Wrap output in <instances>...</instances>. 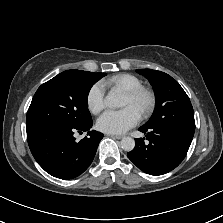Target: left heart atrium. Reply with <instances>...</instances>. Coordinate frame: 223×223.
<instances>
[{"label":"left heart atrium","instance_id":"39dd6f15","mask_svg":"<svg viewBox=\"0 0 223 223\" xmlns=\"http://www.w3.org/2000/svg\"><path fill=\"white\" fill-rule=\"evenodd\" d=\"M140 113L132 106L120 110H108L98 119L97 125L107 133H123L134 127L140 120Z\"/></svg>","mask_w":223,"mask_h":223}]
</instances>
